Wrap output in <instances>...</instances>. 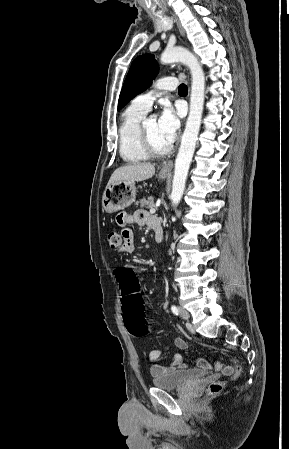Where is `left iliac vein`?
I'll list each match as a JSON object with an SVG mask.
<instances>
[{"instance_id":"1","label":"left iliac vein","mask_w":289,"mask_h":449,"mask_svg":"<svg viewBox=\"0 0 289 449\" xmlns=\"http://www.w3.org/2000/svg\"><path fill=\"white\" fill-rule=\"evenodd\" d=\"M179 315H180L181 318H183L185 320H188L189 317H190L188 311L186 309L182 308V307L179 308ZM186 326H187L188 329H190V330L192 329L191 324L187 323Z\"/></svg>"}]
</instances>
